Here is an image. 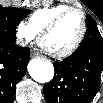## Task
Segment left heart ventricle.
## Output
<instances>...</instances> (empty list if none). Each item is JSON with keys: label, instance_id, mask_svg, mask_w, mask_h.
<instances>
[{"label": "left heart ventricle", "instance_id": "obj_1", "mask_svg": "<svg viewBox=\"0 0 103 103\" xmlns=\"http://www.w3.org/2000/svg\"><path fill=\"white\" fill-rule=\"evenodd\" d=\"M82 27L79 13L67 15L58 26L53 29L43 40L46 48L51 51H62L68 48L78 37Z\"/></svg>", "mask_w": 103, "mask_h": 103}]
</instances>
